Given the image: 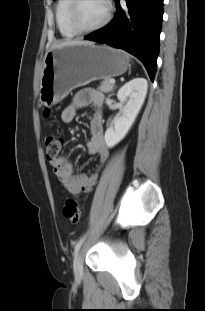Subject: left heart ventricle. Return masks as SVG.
I'll list each match as a JSON object with an SVG mask.
<instances>
[{
  "mask_svg": "<svg viewBox=\"0 0 205 311\" xmlns=\"http://www.w3.org/2000/svg\"><path fill=\"white\" fill-rule=\"evenodd\" d=\"M106 12L105 0H82L78 9L79 21L83 27H93L104 19Z\"/></svg>",
  "mask_w": 205,
  "mask_h": 311,
  "instance_id": "left-heart-ventricle-1",
  "label": "left heart ventricle"
}]
</instances>
